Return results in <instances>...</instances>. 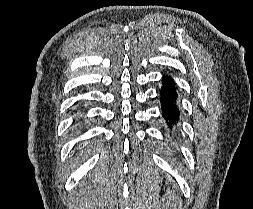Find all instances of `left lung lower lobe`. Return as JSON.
Instances as JSON below:
<instances>
[{
	"label": "left lung lower lobe",
	"mask_w": 253,
	"mask_h": 209,
	"mask_svg": "<svg viewBox=\"0 0 253 209\" xmlns=\"http://www.w3.org/2000/svg\"><path fill=\"white\" fill-rule=\"evenodd\" d=\"M162 84L163 86L159 91L162 116L168 129L173 133H177L180 109L177 104L178 94L175 83L171 77L163 76Z\"/></svg>",
	"instance_id": "0a47b994"
}]
</instances>
